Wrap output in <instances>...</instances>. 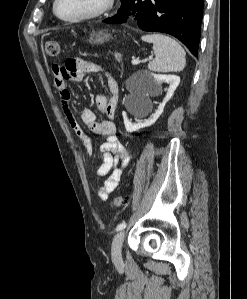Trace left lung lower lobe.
<instances>
[{"label":"left lung lower lobe","mask_w":247,"mask_h":299,"mask_svg":"<svg viewBox=\"0 0 247 299\" xmlns=\"http://www.w3.org/2000/svg\"><path fill=\"white\" fill-rule=\"evenodd\" d=\"M132 14H136L140 29L168 33L198 55L203 0H130L103 22L124 23Z\"/></svg>","instance_id":"0a47b994"}]
</instances>
